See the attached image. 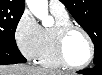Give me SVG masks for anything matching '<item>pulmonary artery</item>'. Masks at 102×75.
<instances>
[{"label":"pulmonary artery","mask_w":102,"mask_h":75,"mask_svg":"<svg viewBox=\"0 0 102 75\" xmlns=\"http://www.w3.org/2000/svg\"><path fill=\"white\" fill-rule=\"evenodd\" d=\"M49 9L51 12L66 14V8L61 1H49Z\"/></svg>","instance_id":"obj_1"}]
</instances>
